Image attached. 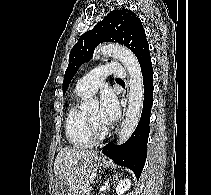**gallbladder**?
<instances>
[{"instance_id": "bac80fb5", "label": "gallbladder", "mask_w": 211, "mask_h": 195, "mask_svg": "<svg viewBox=\"0 0 211 195\" xmlns=\"http://www.w3.org/2000/svg\"><path fill=\"white\" fill-rule=\"evenodd\" d=\"M53 192H54V194H55V192H56L55 189H54V187H53Z\"/></svg>"}]
</instances>
